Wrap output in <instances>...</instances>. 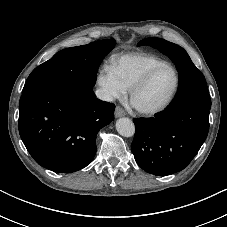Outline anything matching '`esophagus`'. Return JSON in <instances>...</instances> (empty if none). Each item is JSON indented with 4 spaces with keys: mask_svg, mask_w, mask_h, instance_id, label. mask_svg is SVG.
<instances>
[{
    "mask_svg": "<svg viewBox=\"0 0 227 227\" xmlns=\"http://www.w3.org/2000/svg\"><path fill=\"white\" fill-rule=\"evenodd\" d=\"M126 113L125 111L120 107V106H117L115 108V117L118 118V117H122L124 116Z\"/></svg>",
    "mask_w": 227,
    "mask_h": 227,
    "instance_id": "obj_1",
    "label": "esophagus"
}]
</instances>
